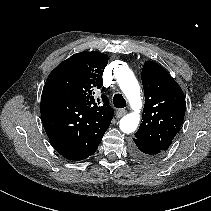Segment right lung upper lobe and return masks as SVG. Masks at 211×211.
I'll return each mask as SVG.
<instances>
[{
	"instance_id": "cb5924a9",
	"label": "right lung upper lobe",
	"mask_w": 211,
	"mask_h": 211,
	"mask_svg": "<svg viewBox=\"0 0 211 211\" xmlns=\"http://www.w3.org/2000/svg\"><path fill=\"white\" fill-rule=\"evenodd\" d=\"M108 63L106 54L80 52L61 62L48 76L43 91H51L74 98L86 116L98 118L110 125L114 115L105 96L103 105L97 106L95 89L103 86L102 75Z\"/></svg>"
}]
</instances>
